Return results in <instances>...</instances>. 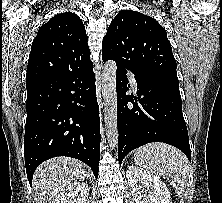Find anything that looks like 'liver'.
I'll return each mask as SVG.
<instances>
[{
  "label": "liver",
  "instance_id": "6515ba94",
  "mask_svg": "<svg viewBox=\"0 0 222 203\" xmlns=\"http://www.w3.org/2000/svg\"><path fill=\"white\" fill-rule=\"evenodd\" d=\"M85 164L69 157H55L39 165L33 175L36 203H58L73 186L85 179Z\"/></svg>",
  "mask_w": 222,
  "mask_h": 203
}]
</instances>
